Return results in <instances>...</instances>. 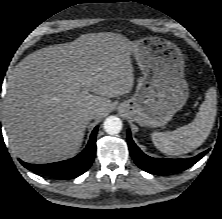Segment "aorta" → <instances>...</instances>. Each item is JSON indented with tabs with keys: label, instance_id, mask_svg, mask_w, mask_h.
I'll return each mask as SVG.
<instances>
[{
	"label": "aorta",
	"instance_id": "aorta-1",
	"mask_svg": "<svg viewBox=\"0 0 222 219\" xmlns=\"http://www.w3.org/2000/svg\"><path fill=\"white\" fill-rule=\"evenodd\" d=\"M104 130L110 135L118 134L122 130V121L117 116H109L104 121Z\"/></svg>",
	"mask_w": 222,
	"mask_h": 219
}]
</instances>
